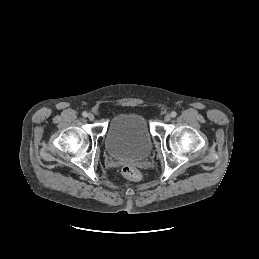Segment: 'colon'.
I'll return each instance as SVG.
<instances>
[{"instance_id": "5ec220e1", "label": "colon", "mask_w": 259, "mask_h": 259, "mask_svg": "<svg viewBox=\"0 0 259 259\" xmlns=\"http://www.w3.org/2000/svg\"><path fill=\"white\" fill-rule=\"evenodd\" d=\"M121 172L126 178L133 181H137L141 177L139 170L132 166H123Z\"/></svg>"}]
</instances>
